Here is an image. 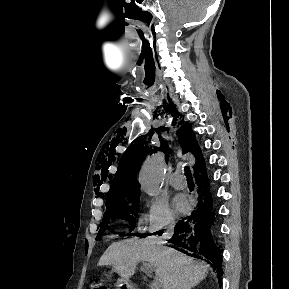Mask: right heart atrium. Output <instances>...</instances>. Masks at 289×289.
<instances>
[{
  "mask_svg": "<svg viewBox=\"0 0 289 289\" xmlns=\"http://www.w3.org/2000/svg\"><path fill=\"white\" fill-rule=\"evenodd\" d=\"M144 202L147 208L143 219L144 231L155 233L174 226L176 218L165 196H153L146 198Z\"/></svg>",
  "mask_w": 289,
  "mask_h": 289,
  "instance_id": "right-heart-atrium-1",
  "label": "right heart atrium"
}]
</instances>
